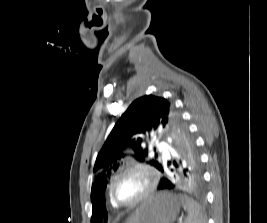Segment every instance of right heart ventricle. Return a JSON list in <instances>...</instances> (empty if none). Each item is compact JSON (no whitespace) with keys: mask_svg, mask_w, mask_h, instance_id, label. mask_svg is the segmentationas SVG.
<instances>
[{"mask_svg":"<svg viewBox=\"0 0 267 223\" xmlns=\"http://www.w3.org/2000/svg\"><path fill=\"white\" fill-rule=\"evenodd\" d=\"M110 202H111V204H113L114 206H116L113 202H112V200L110 199Z\"/></svg>","mask_w":267,"mask_h":223,"instance_id":"obj_1","label":"right heart ventricle"}]
</instances>
